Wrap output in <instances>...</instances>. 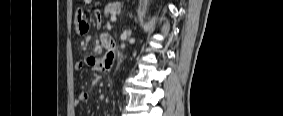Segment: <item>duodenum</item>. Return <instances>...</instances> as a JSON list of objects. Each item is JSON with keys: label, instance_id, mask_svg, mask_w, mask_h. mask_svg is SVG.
<instances>
[{"label": "duodenum", "instance_id": "obj_1", "mask_svg": "<svg viewBox=\"0 0 283 116\" xmlns=\"http://www.w3.org/2000/svg\"><path fill=\"white\" fill-rule=\"evenodd\" d=\"M104 44L109 47L110 53L113 54L112 52L114 49V43H112V41H109L107 36H106V41L104 42Z\"/></svg>", "mask_w": 283, "mask_h": 116}]
</instances>
